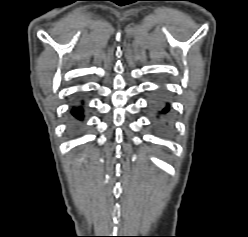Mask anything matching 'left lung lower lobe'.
Here are the masks:
<instances>
[{
  "mask_svg": "<svg viewBox=\"0 0 248 237\" xmlns=\"http://www.w3.org/2000/svg\"><path fill=\"white\" fill-rule=\"evenodd\" d=\"M166 111H168V107L163 109V113H165Z\"/></svg>",
  "mask_w": 248,
  "mask_h": 237,
  "instance_id": "obj_1",
  "label": "left lung lower lobe"
}]
</instances>
